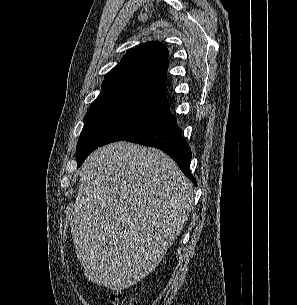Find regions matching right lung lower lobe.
<instances>
[{"instance_id": "obj_1", "label": "right lung lower lobe", "mask_w": 297, "mask_h": 305, "mask_svg": "<svg viewBox=\"0 0 297 305\" xmlns=\"http://www.w3.org/2000/svg\"><path fill=\"white\" fill-rule=\"evenodd\" d=\"M125 140L161 149L175 160L183 173L197 185L190 172L191 149L182 137L176 118L172 114L168 113L148 128Z\"/></svg>"}]
</instances>
